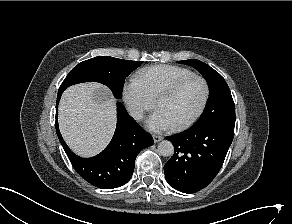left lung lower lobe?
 Returning a JSON list of instances; mask_svg holds the SVG:
<instances>
[{
    "label": "left lung lower lobe",
    "instance_id": "1",
    "mask_svg": "<svg viewBox=\"0 0 292 224\" xmlns=\"http://www.w3.org/2000/svg\"><path fill=\"white\" fill-rule=\"evenodd\" d=\"M235 114L166 137L175 153L164 165L169 185L184 193L206 187L218 174L234 136Z\"/></svg>",
    "mask_w": 292,
    "mask_h": 224
}]
</instances>
